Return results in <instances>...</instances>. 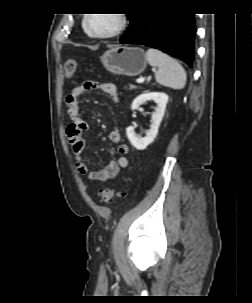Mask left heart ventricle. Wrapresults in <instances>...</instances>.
Returning <instances> with one entry per match:
<instances>
[{
	"instance_id": "left-heart-ventricle-1",
	"label": "left heart ventricle",
	"mask_w": 252,
	"mask_h": 303,
	"mask_svg": "<svg viewBox=\"0 0 252 303\" xmlns=\"http://www.w3.org/2000/svg\"><path fill=\"white\" fill-rule=\"evenodd\" d=\"M117 19L113 14H93L88 21V27L93 32H105L116 25Z\"/></svg>"
}]
</instances>
